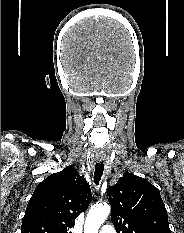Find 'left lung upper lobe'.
Masks as SVG:
<instances>
[{"label": "left lung upper lobe", "mask_w": 184, "mask_h": 233, "mask_svg": "<svg viewBox=\"0 0 184 233\" xmlns=\"http://www.w3.org/2000/svg\"><path fill=\"white\" fill-rule=\"evenodd\" d=\"M107 194L117 233H171L160 192L144 178L125 172Z\"/></svg>", "instance_id": "obj_1"}]
</instances>
